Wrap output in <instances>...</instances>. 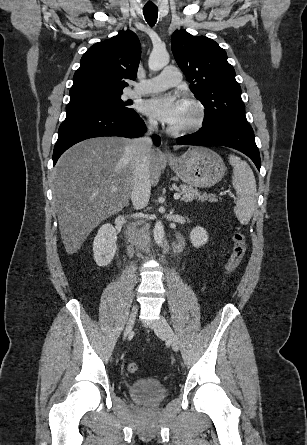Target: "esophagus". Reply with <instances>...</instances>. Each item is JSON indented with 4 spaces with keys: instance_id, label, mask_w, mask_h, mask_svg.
Instances as JSON below:
<instances>
[{
    "instance_id": "esophagus-1",
    "label": "esophagus",
    "mask_w": 307,
    "mask_h": 445,
    "mask_svg": "<svg viewBox=\"0 0 307 445\" xmlns=\"http://www.w3.org/2000/svg\"><path fill=\"white\" fill-rule=\"evenodd\" d=\"M164 154H165V156H167L168 158H174V156L172 155V153H171V151H170V149H169V147H168L167 145L165 146Z\"/></svg>"
}]
</instances>
